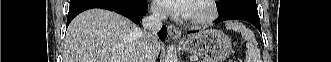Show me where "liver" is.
Instances as JSON below:
<instances>
[{"instance_id": "liver-1", "label": "liver", "mask_w": 331, "mask_h": 62, "mask_svg": "<svg viewBox=\"0 0 331 62\" xmlns=\"http://www.w3.org/2000/svg\"><path fill=\"white\" fill-rule=\"evenodd\" d=\"M141 34L139 27L115 12L87 10L68 27L63 62H136ZM160 48V42L156 41L153 60Z\"/></svg>"}]
</instances>
